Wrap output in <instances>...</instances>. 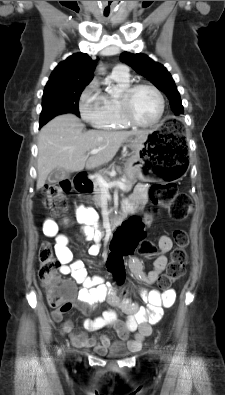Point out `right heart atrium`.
Masks as SVG:
<instances>
[{"label":"right heart atrium","instance_id":"d8ad5b80","mask_svg":"<svg viewBox=\"0 0 225 395\" xmlns=\"http://www.w3.org/2000/svg\"><path fill=\"white\" fill-rule=\"evenodd\" d=\"M102 111L100 95L96 92L94 83H90L80 96L79 112L82 119L97 126Z\"/></svg>","mask_w":225,"mask_h":395}]
</instances>
